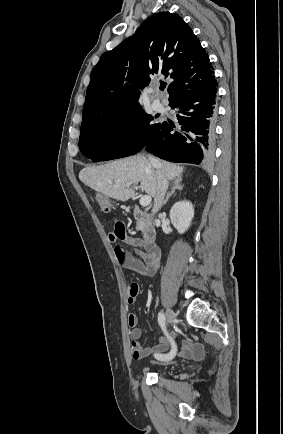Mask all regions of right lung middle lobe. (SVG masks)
Instances as JSON below:
<instances>
[{"instance_id": "right-lung-middle-lobe-1", "label": "right lung middle lobe", "mask_w": 283, "mask_h": 434, "mask_svg": "<svg viewBox=\"0 0 283 434\" xmlns=\"http://www.w3.org/2000/svg\"><path fill=\"white\" fill-rule=\"evenodd\" d=\"M152 119L138 107L80 129V151L94 162L136 154L161 125L152 124Z\"/></svg>"}]
</instances>
